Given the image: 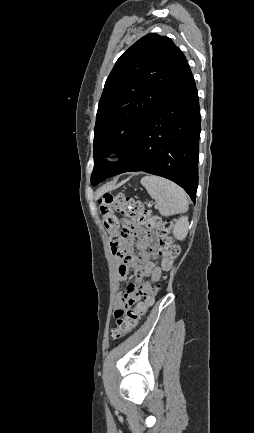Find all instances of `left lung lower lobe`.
<instances>
[{"label":"left lung lower lobe","mask_w":254,"mask_h":433,"mask_svg":"<svg viewBox=\"0 0 254 433\" xmlns=\"http://www.w3.org/2000/svg\"><path fill=\"white\" fill-rule=\"evenodd\" d=\"M198 93L187 60L112 176L143 171L181 186L195 202L200 137Z\"/></svg>","instance_id":"1"}]
</instances>
